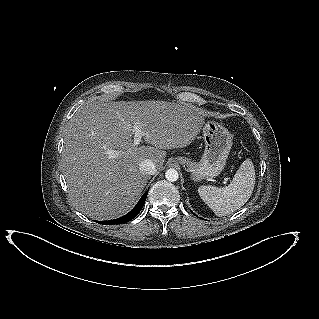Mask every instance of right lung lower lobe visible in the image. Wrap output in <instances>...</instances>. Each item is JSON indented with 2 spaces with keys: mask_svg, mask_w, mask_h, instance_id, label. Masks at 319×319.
Masks as SVG:
<instances>
[{
  "mask_svg": "<svg viewBox=\"0 0 319 319\" xmlns=\"http://www.w3.org/2000/svg\"><path fill=\"white\" fill-rule=\"evenodd\" d=\"M148 191L144 193V195L141 197V199L138 201L136 206L126 215L109 221H102L101 223L103 225H109V224H122L131 221L134 217L138 215V213L141 211L142 207L144 206L146 197H147Z\"/></svg>",
  "mask_w": 319,
  "mask_h": 319,
  "instance_id": "obj_1",
  "label": "right lung lower lobe"
}]
</instances>
